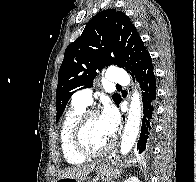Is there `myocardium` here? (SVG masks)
Segmentation results:
<instances>
[{"mask_svg":"<svg viewBox=\"0 0 196 182\" xmlns=\"http://www.w3.org/2000/svg\"><path fill=\"white\" fill-rule=\"evenodd\" d=\"M99 116V112L94 109L84 110L80 116L75 121L72 131H71V145L75 152L80 154L85 158L100 157L107 154L113 148V141L110 140L109 143L100 150L91 151L82 142V132L87 123V121L93 117Z\"/></svg>","mask_w":196,"mask_h":182,"instance_id":"1","label":"myocardium"}]
</instances>
